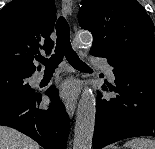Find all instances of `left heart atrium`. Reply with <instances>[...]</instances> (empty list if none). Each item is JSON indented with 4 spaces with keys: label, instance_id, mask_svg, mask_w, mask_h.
<instances>
[{
    "label": "left heart atrium",
    "instance_id": "39dd6f15",
    "mask_svg": "<svg viewBox=\"0 0 155 149\" xmlns=\"http://www.w3.org/2000/svg\"><path fill=\"white\" fill-rule=\"evenodd\" d=\"M75 93H76V87L74 84L69 83L64 85L62 88V95L65 98H73Z\"/></svg>",
    "mask_w": 155,
    "mask_h": 149
}]
</instances>
